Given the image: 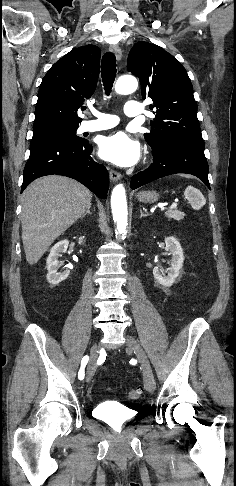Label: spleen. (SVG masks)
<instances>
[{"label":"spleen","mask_w":236,"mask_h":486,"mask_svg":"<svg viewBox=\"0 0 236 486\" xmlns=\"http://www.w3.org/2000/svg\"><path fill=\"white\" fill-rule=\"evenodd\" d=\"M184 196L189 200L192 208L195 210L201 209L206 203V200L200 190L193 186H187L184 191Z\"/></svg>","instance_id":"spleen-1"}]
</instances>
